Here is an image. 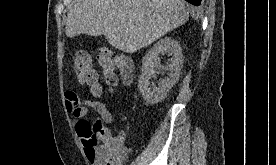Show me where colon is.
Here are the masks:
<instances>
[{
    "mask_svg": "<svg viewBox=\"0 0 276 165\" xmlns=\"http://www.w3.org/2000/svg\"><path fill=\"white\" fill-rule=\"evenodd\" d=\"M97 60L101 68L104 84L108 90L113 89L117 85L119 76L125 83L131 81L132 63L123 54L105 47L99 51ZM73 68L79 81L89 86L94 95L99 96L103 93L99 73L92 56L88 52L79 51L74 55ZM98 130V126H91L85 119L79 122V131L89 146H93L96 143Z\"/></svg>",
    "mask_w": 276,
    "mask_h": 165,
    "instance_id": "obj_1",
    "label": "colon"
}]
</instances>
